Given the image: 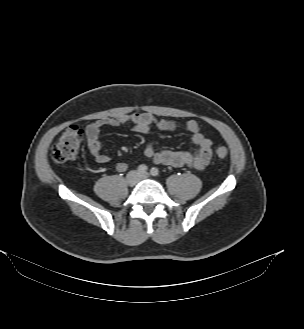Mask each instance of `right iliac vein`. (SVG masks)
<instances>
[{
  "label": "right iliac vein",
  "mask_w": 304,
  "mask_h": 329,
  "mask_svg": "<svg viewBox=\"0 0 304 329\" xmlns=\"http://www.w3.org/2000/svg\"><path fill=\"white\" fill-rule=\"evenodd\" d=\"M138 181V175L135 171L130 172L126 177V182L129 186H134Z\"/></svg>",
  "instance_id": "63e3f726"
}]
</instances>
